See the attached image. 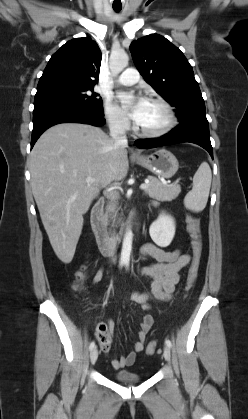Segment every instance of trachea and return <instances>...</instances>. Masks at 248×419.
Wrapping results in <instances>:
<instances>
[{"mask_svg":"<svg viewBox=\"0 0 248 419\" xmlns=\"http://www.w3.org/2000/svg\"><path fill=\"white\" fill-rule=\"evenodd\" d=\"M113 9H114L116 12H119V11L122 9V6H113Z\"/></svg>","mask_w":248,"mask_h":419,"instance_id":"trachea-1","label":"trachea"}]
</instances>
